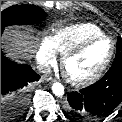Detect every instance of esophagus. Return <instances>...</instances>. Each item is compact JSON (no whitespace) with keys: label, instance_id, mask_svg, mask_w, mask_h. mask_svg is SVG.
I'll use <instances>...</instances> for the list:
<instances>
[{"label":"esophagus","instance_id":"34e87169","mask_svg":"<svg viewBox=\"0 0 122 122\" xmlns=\"http://www.w3.org/2000/svg\"><path fill=\"white\" fill-rule=\"evenodd\" d=\"M44 80L47 81V82H52L54 81V78L52 76H44Z\"/></svg>","mask_w":122,"mask_h":122}]
</instances>
